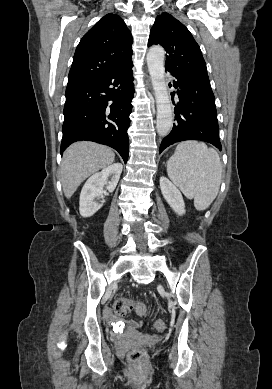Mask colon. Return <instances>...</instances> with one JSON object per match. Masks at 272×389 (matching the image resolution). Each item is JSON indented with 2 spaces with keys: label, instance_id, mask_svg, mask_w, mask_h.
<instances>
[{
  "label": "colon",
  "instance_id": "1",
  "mask_svg": "<svg viewBox=\"0 0 272 389\" xmlns=\"http://www.w3.org/2000/svg\"><path fill=\"white\" fill-rule=\"evenodd\" d=\"M113 310L114 313L121 318L133 311L137 315L143 316L147 313V306L143 302L123 297L115 301ZM154 326L158 331H163L166 327V323L163 320L158 319L155 321ZM128 360L135 366L143 365L146 361V350L142 347L132 349L128 354Z\"/></svg>",
  "mask_w": 272,
  "mask_h": 389
}]
</instances>
